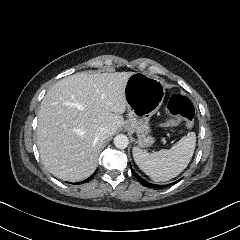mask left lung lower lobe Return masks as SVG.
<instances>
[{
  "label": "left lung lower lobe",
  "mask_w": 240,
  "mask_h": 240,
  "mask_svg": "<svg viewBox=\"0 0 240 240\" xmlns=\"http://www.w3.org/2000/svg\"><path fill=\"white\" fill-rule=\"evenodd\" d=\"M132 173H133V175L138 179V181L140 182V183H142L143 185H145V186H147V187H152V188H157V187H161V186H158V185H154V184H151V183H149V182H147V181H145L143 178H141L135 171H133L132 170ZM179 181V180H178ZM177 181V182H178ZM173 184V183H172Z\"/></svg>",
  "instance_id": "left-lung-lower-lobe-1"
}]
</instances>
